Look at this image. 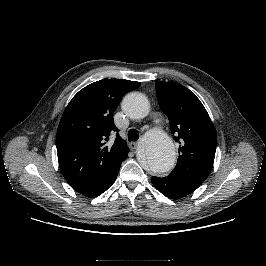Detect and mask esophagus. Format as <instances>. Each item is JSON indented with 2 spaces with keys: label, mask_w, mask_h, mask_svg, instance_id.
<instances>
[{
  "label": "esophagus",
  "mask_w": 266,
  "mask_h": 266,
  "mask_svg": "<svg viewBox=\"0 0 266 266\" xmlns=\"http://www.w3.org/2000/svg\"><path fill=\"white\" fill-rule=\"evenodd\" d=\"M138 143L137 142H131L129 143V147L131 150H135L137 148Z\"/></svg>",
  "instance_id": "obj_1"
}]
</instances>
